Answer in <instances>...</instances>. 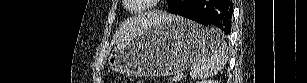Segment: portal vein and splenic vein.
Returning <instances> with one entry per match:
<instances>
[{"label":"portal vein and splenic vein","mask_w":307,"mask_h":83,"mask_svg":"<svg viewBox=\"0 0 307 83\" xmlns=\"http://www.w3.org/2000/svg\"><path fill=\"white\" fill-rule=\"evenodd\" d=\"M182 78V74H177L174 78H173V80L174 81H177V80H180Z\"/></svg>","instance_id":"portal-vein-and-splenic-vein-1"}]
</instances>
